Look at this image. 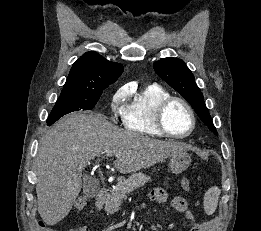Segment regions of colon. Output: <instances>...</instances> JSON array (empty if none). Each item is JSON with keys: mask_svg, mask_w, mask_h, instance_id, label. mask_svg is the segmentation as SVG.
<instances>
[{"mask_svg": "<svg viewBox=\"0 0 261 231\" xmlns=\"http://www.w3.org/2000/svg\"><path fill=\"white\" fill-rule=\"evenodd\" d=\"M182 188L184 190H188L190 188V182L185 183ZM87 204V200L85 198L78 199L74 202L73 208L75 210L83 209ZM197 227L192 228V231H196ZM40 231H56L53 227L48 226L44 223L40 224Z\"/></svg>", "mask_w": 261, "mask_h": 231, "instance_id": "obj_1", "label": "colon"}]
</instances>
